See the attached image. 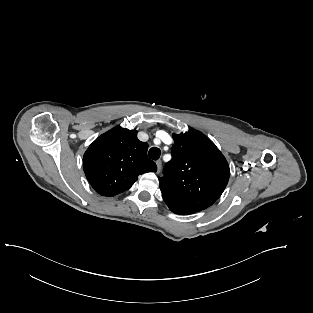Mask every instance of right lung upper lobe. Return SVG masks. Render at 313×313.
<instances>
[{
	"label": "right lung upper lobe",
	"instance_id": "right-lung-upper-lobe-1",
	"mask_svg": "<svg viewBox=\"0 0 313 313\" xmlns=\"http://www.w3.org/2000/svg\"><path fill=\"white\" fill-rule=\"evenodd\" d=\"M148 144L137 138V131L120 126L99 136L83 156L86 178L103 196H115L128 190L146 172H156V164L147 157Z\"/></svg>",
	"mask_w": 313,
	"mask_h": 313
}]
</instances>
